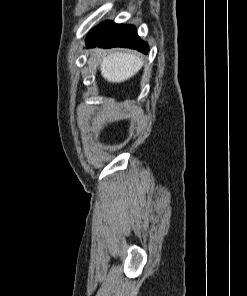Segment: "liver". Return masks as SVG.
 I'll return each instance as SVG.
<instances>
[{
    "label": "liver",
    "mask_w": 247,
    "mask_h": 296,
    "mask_svg": "<svg viewBox=\"0 0 247 296\" xmlns=\"http://www.w3.org/2000/svg\"><path fill=\"white\" fill-rule=\"evenodd\" d=\"M142 58L129 52H114L100 62L101 75L108 82L121 83L133 77L142 68Z\"/></svg>",
    "instance_id": "1"
}]
</instances>
